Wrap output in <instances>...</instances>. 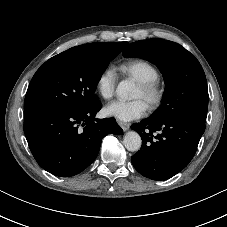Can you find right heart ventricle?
<instances>
[{"instance_id": "obj_1", "label": "right heart ventricle", "mask_w": 227, "mask_h": 227, "mask_svg": "<svg viewBox=\"0 0 227 227\" xmlns=\"http://www.w3.org/2000/svg\"><path fill=\"white\" fill-rule=\"evenodd\" d=\"M118 68L124 76L138 83L155 81L159 77L158 69L145 59L134 58L125 60Z\"/></svg>"}]
</instances>
